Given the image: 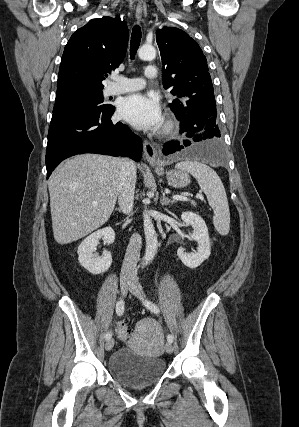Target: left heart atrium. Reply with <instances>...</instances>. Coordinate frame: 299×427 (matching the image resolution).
I'll list each match as a JSON object with an SVG mask.
<instances>
[{"instance_id": "39dd6f15", "label": "left heart atrium", "mask_w": 299, "mask_h": 427, "mask_svg": "<svg viewBox=\"0 0 299 427\" xmlns=\"http://www.w3.org/2000/svg\"><path fill=\"white\" fill-rule=\"evenodd\" d=\"M121 117L138 129L156 130L163 122L159 102L144 94L123 98L119 104Z\"/></svg>"}]
</instances>
